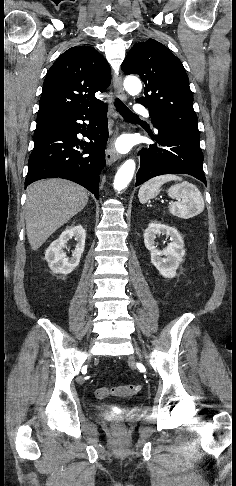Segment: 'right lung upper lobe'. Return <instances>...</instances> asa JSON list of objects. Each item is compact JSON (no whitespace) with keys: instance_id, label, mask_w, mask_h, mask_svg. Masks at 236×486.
I'll return each instance as SVG.
<instances>
[{"instance_id":"1","label":"right lung upper lobe","mask_w":236,"mask_h":486,"mask_svg":"<svg viewBox=\"0 0 236 486\" xmlns=\"http://www.w3.org/2000/svg\"><path fill=\"white\" fill-rule=\"evenodd\" d=\"M110 82V67L93 47L68 49L47 72L37 121L103 104L95 93L106 90Z\"/></svg>"}]
</instances>
